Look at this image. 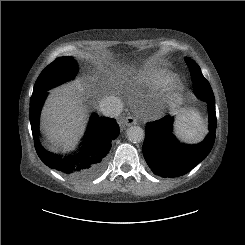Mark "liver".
Returning <instances> with one entry per match:
<instances>
[{"instance_id": "1", "label": "liver", "mask_w": 245, "mask_h": 245, "mask_svg": "<svg viewBox=\"0 0 245 245\" xmlns=\"http://www.w3.org/2000/svg\"><path fill=\"white\" fill-rule=\"evenodd\" d=\"M80 83L68 84L51 91L42 112V128L53 150H71L84 132L86 107L78 93Z\"/></svg>"}]
</instances>
